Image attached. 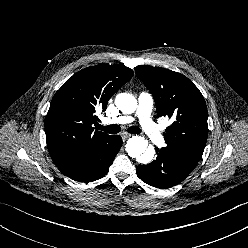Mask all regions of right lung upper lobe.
I'll return each mask as SVG.
<instances>
[{"instance_id": "obj_1", "label": "right lung upper lobe", "mask_w": 248, "mask_h": 248, "mask_svg": "<svg viewBox=\"0 0 248 248\" xmlns=\"http://www.w3.org/2000/svg\"><path fill=\"white\" fill-rule=\"evenodd\" d=\"M132 75L128 67L99 64L77 72L56 92L45 117V133L57 167L109 136L94 129L99 121L96 111H105L109 99Z\"/></svg>"}]
</instances>
